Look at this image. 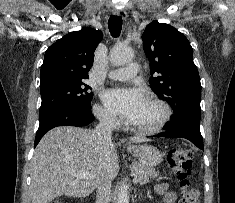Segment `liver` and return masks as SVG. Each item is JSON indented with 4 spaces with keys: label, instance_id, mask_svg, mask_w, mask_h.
Listing matches in <instances>:
<instances>
[{
    "label": "liver",
    "instance_id": "liver-1",
    "mask_svg": "<svg viewBox=\"0 0 235 203\" xmlns=\"http://www.w3.org/2000/svg\"><path fill=\"white\" fill-rule=\"evenodd\" d=\"M130 141L145 140L133 137ZM116 146L83 128L61 126L47 132L31 160L32 203H50L61 195L86 197L103 179L112 181L119 172ZM71 171L88 172L93 177L77 178Z\"/></svg>",
    "mask_w": 235,
    "mask_h": 203
}]
</instances>
